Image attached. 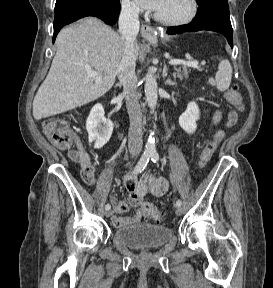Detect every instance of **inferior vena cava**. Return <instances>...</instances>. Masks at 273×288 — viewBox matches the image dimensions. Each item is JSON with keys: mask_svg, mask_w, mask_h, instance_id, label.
<instances>
[{"mask_svg": "<svg viewBox=\"0 0 273 288\" xmlns=\"http://www.w3.org/2000/svg\"><path fill=\"white\" fill-rule=\"evenodd\" d=\"M139 9L125 5L119 16V31L125 41L124 54L119 66L118 79L123 86L127 111L130 118L128 148L131 154L142 151V114L137 94V77L135 74V39L139 32Z\"/></svg>", "mask_w": 273, "mask_h": 288, "instance_id": "602c4592", "label": "inferior vena cava"}]
</instances>
